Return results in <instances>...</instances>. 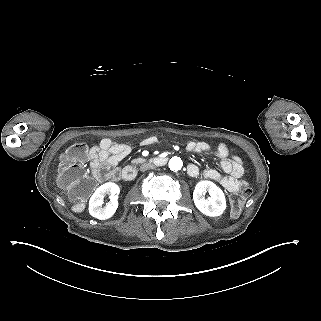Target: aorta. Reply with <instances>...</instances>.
Here are the masks:
<instances>
[{
  "label": "aorta",
  "mask_w": 321,
  "mask_h": 321,
  "mask_svg": "<svg viewBox=\"0 0 321 321\" xmlns=\"http://www.w3.org/2000/svg\"><path fill=\"white\" fill-rule=\"evenodd\" d=\"M182 166H183V162L179 157L174 156L169 161V168L172 171H178L182 168Z\"/></svg>",
  "instance_id": "1"
}]
</instances>
